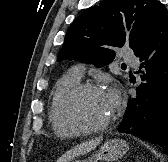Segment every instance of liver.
Masks as SVG:
<instances>
[{
    "mask_svg": "<svg viewBox=\"0 0 168 162\" xmlns=\"http://www.w3.org/2000/svg\"><path fill=\"white\" fill-rule=\"evenodd\" d=\"M102 141V138H97L91 141H86L84 143H81L77 146H75L73 149L69 150L67 153H65L60 159H58L56 162H69L70 160L74 159L75 157H78L80 155H83L93 149H95Z\"/></svg>",
    "mask_w": 168,
    "mask_h": 162,
    "instance_id": "liver-1",
    "label": "liver"
}]
</instances>
